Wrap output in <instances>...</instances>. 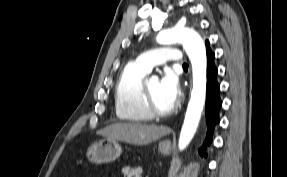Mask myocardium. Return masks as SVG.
<instances>
[{
    "label": "myocardium",
    "mask_w": 287,
    "mask_h": 177,
    "mask_svg": "<svg viewBox=\"0 0 287 177\" xmlns=\"http://www.w3.org/2000/svg\"><path fill=\"white\" fill-rule=\"evenodd\" d=\"M143 103L146 111L151 115V117H157V118L166 117L173 114L176 109V106L173 105L168 110H160L156 106L147 85L143 86Z\"/></svg>",
    "instance_id": "myocardium-1"
}]
</instances>
